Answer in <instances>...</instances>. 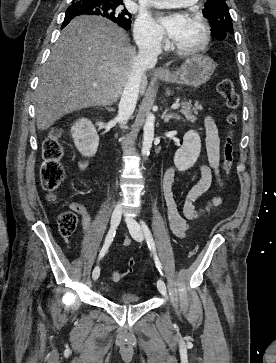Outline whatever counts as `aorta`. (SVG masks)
I'll return each instance as SVG.
<instances>
[{
	"label": "aorta",
	"mask_w": 276,
	"mask_h": 363,
	"mask_svg": "<svg viewBox=\"0 0 276 363\" xmlns=\"http://www.w3.org/2000/svg\"><path fill=\"white\" fill-rule=\"evenodd\" d=\"M154 123L155 117L153 114H148L146 117L145 125H144V133H143V142H142V155L146 157L149 155L152 142L154 138Z\"/></svg>",
	"instance_id": "762f6f07"
}]
</instances>
